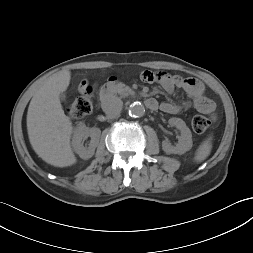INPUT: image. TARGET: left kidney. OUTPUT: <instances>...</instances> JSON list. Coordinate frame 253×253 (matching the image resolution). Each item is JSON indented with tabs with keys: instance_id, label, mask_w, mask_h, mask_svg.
I'll list each match as a JSON object with an SVG mask.
<instances>
[{
	"instance_id": "1",
	"label": "left kidney",
	"mask_w": 253,
	"mask_h": 253,
	"mask_svg": "<svg viewBox=\"0 0 253 253\" xmlns=\"http://www.w3.org/2000/svg\"><path fill=\"white\" fill-rule=\"evenodd\" d=\"M169 124L180 130L181 136L178 139V144L172 146L170 143L163 141L162 149L166 154H184L192 148V134L185 122L180 118H170Z\"/></svg>"
}]
</instances>
